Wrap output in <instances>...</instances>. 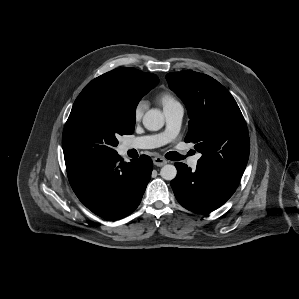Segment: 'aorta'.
I'll return each mask as SVG.
<instances>
[{"label":"aorta","mask_w":299,"mask_h":299,"mask_svg":"<svg viewBox=\"0 0 299 299\" xmlns=\"http://www.w3.org/2000/svg\"><path fill=\"white\" fill-rule=\"evenodd\" d=\"M164 115L158 109L148 110L143 117V125L147 130L158 131L164 126ZM160 175L165 180H173L177 175V169L172 164L163 166Z\"/></svg>","instance_id":"1"}]
</instances>
